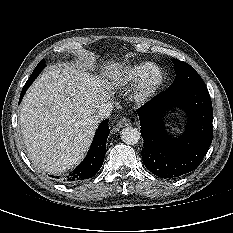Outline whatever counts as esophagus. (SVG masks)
I'll list each match as a JSON object with an SVG mask.
<instances>
[{
    "mask_svg": "<svg viewBox=\"0 0 233 233\" xmlns=\"http://www.w3.org/2000/svg\"><path fill=\"white\" fill-rule=\"evenodd\" d=\"M128 125H130V120L129 119H127V118H123L122 120H120L117 124H116V126H115V130H118L119 128H121V127H124V126H128Z\"/></svg>",
    "mask_w": 233,
    "mask_h": 233,
    "instance_id": "34e87169",
    "label": "esophagus"
}]
</instances>
